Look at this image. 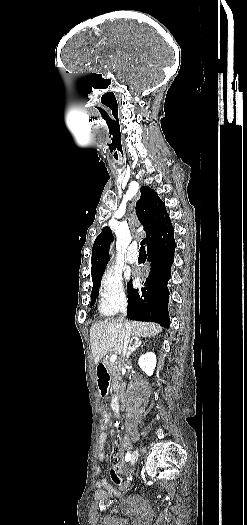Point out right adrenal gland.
Segmentation results:
<instances>
[{
    "instance_id": "1",
    "label": "right adrenal gland",
    "mask_w": 247,
    "mask_h": 525,
    "mask_svg": "<svg viewBox=\"0 0 247 525\" xmlns=\"http://www.w3.org/2000/svg\"><path fill=\"white\" fill-rule=\"evenodd\" d=\"M140 345H142V341H139L138 337H132L129 343L128 355H131L133 351H136L137 347H140Z\"/></svg>"
}]
</instances>
